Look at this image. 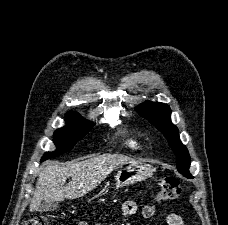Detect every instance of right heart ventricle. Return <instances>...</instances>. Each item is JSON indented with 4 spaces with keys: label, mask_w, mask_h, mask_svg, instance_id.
Masks as SVG:
<instances>
[{
    "label": "right heart ventricle",
    "mask_w": 228,
    "mask_h": 225,
    "mask_svg": "<svg viewBox=\"0 0 228 225\" xmlns=\"http://www.w3.org/2000/svg\"><path fill=\"white\" fill-rule=\"evenodd\" d=\"M122 145L130 151H140L145 148V143L141 139L134 136L126 137L123 140Z\"/></svg>",
    "instance_id": "right-heart-ventricle-1"
}]
</instances>
